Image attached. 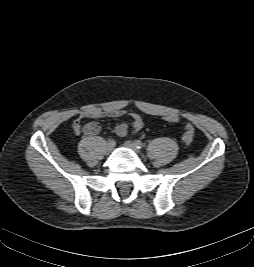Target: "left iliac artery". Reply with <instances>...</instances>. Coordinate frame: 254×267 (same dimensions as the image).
I'll return each instance as SVG.
<instances>
[{"mask_svg": "<svg viewBox=\"0 0 254 267\" xmlns=\"http://www.w3.org/2000/svg\"><path fill=\"white\" fill-rule=\"evenodd\" d=\"M134 144L136 145V147H137L138 149L144 147V144H143L142 141H140V140H135V141H134Z\"/></svg>", "mask_w": 254, "mask_h": 267, "instance_id": "obj_1", "label": "left iliac artery"}]
</instances>
